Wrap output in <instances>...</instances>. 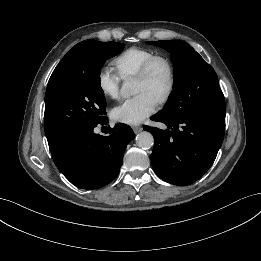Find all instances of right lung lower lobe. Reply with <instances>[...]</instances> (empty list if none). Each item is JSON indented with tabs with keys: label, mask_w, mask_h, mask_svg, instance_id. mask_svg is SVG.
Instances as JSON below:
<instances>
[{
	"label": "right lung lower lobe",
	"mask_w": 261,
	"mask_h": 261,
	"mask_svg": "<svg viewBox=\"0 0 261 261\" xmlns=\"http://www.w3.org/2000/svg\"><path fill=\"white\" fill-rule=\"evenodd\" d=\"M105 118L99 124L106 125ZM91 126L77 130L50 147L59 171L75 186L98 189L109 184L118 175L126 146L134 132L119 123L109 129L107 136L95 134Z\"/></svg>",
	"instance_id": "1"
}]
</instances>
